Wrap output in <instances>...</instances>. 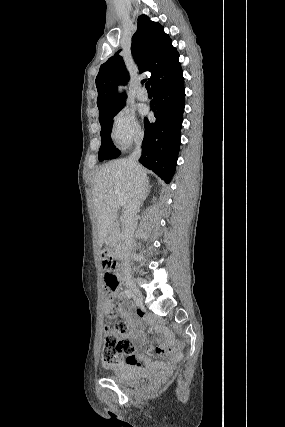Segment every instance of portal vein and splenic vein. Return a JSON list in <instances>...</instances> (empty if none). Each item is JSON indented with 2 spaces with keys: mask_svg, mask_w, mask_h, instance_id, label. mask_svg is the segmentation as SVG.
Masks as SVG:
<instances>
[{
  "mask_svg": "<svg viewBox=\"0 0 285 427\" xmlns=\"http://www.w3.org/2000/svg\"><path fill=\"white\" fill-rule=\"evenodd\" d=\"M117 202H118V205H120V206H123L125 204L122 195H120V194L118 195Z\"/></svg>",
  "mask_w": 285,
  "mask_h": 427,
  "instance_id": "obj_1",
  "label": "portal vein and splenic vein"
}]
</instances>
